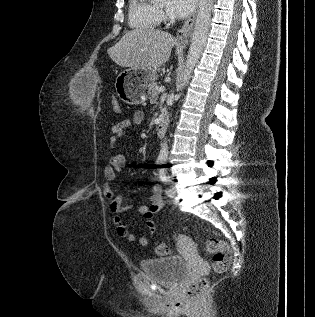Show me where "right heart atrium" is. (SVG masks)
<instances>
[{
	"instance_id": "right-heart-atrium-1",
	"label": "right heart atrium",
	"mask_w": 315,
	"mask_h": 317,
	"mask_svg": "<svg viewBox=\"0 0 315 317\" xmlns=\"http://www.w3.org/2000/svg\"><path fill=\"white\" fill-rule=\"evenodd\" d=\"M161 18L164 17V14L162 11H159Z\"/></svg>"
}]
</instances>
